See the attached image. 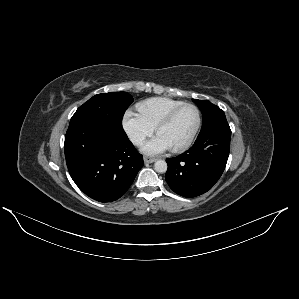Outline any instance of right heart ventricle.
Returning a JSON list of instances; mask_svg holds the SVG:
<instances>
[{
  "mask_svg": "<svg viewBox=\"0 0 299 299\" xmlns=\"http://www.w3.org/2000/svg\"><path fill=\"white\" fill-rule=\"evenodd\" d=\"M183 104V101L155 97L138 103L137 110L140 116L155 128L170 111Z\"/></svg>",
  "mask_w": 299,
  "mask_h": 299,
  "instance_id": "right-heart-ventricle-1",
  "label": "right heart ventricle"
}]
</instances>
